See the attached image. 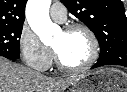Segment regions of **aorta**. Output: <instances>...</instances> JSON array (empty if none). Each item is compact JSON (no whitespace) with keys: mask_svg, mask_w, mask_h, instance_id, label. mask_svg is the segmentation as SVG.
<instances>
[{"mask_svg":"<svg viewBox=\"0 0 127 92\" xmlns=\"http://www.w3.org/2000/svg\"><path fill=\"white\" fill-rule=\"evenodd\" d=\"M51 0H28L26 18L31 29L43 43L52 41V36L59 30L49 17Z\"/></svg>","mask_w":127,"mask_h":92,"instance_id":"1","label":"aorta"}]
</instances>
